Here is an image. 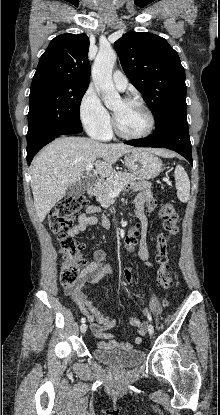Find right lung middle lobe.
<instances>
[{"mask_svg":"<svg viewBox=\"0 0 220 415\" xmlns=\"http://www.w3.org/2000/svg\"><path fill=\"white\" fill-rule=\"evenodd\" d=\"M88 85L56 80L31 84L29 95L27 150L48 135L82 131L79 109Z\"/></svg>","mask_w":220,"mask_h":415,"instance_id":"1","label":"right lung middle lobe"}]
</instances>
